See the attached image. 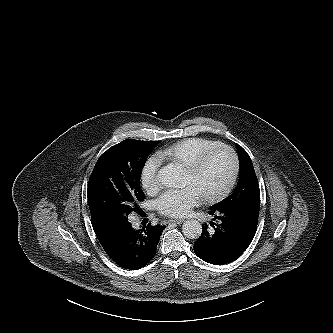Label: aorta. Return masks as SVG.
Masks as SVG:
<instances>
[{
    "label": "aorta",
    "mask_w": 333,
    "mask_h": 333,
    "mask_svg": "<svg viewBox=\"0 0 333 333\" xmlns=\"http://www.w3.org/2000/svg\"><path fill=\"white\" fill-rule=\"evenodd\" d=\"M158 180L166 187H180L183 184L181 169L175 164H168L158 171ZM183 235L189 239H198L202 234V225L191 219L182 225Z\"/></svg>",
    "instance_id": "obj_1"
}]
</instances>
